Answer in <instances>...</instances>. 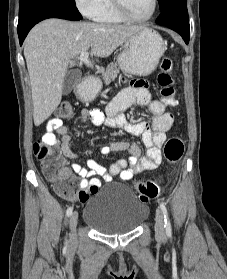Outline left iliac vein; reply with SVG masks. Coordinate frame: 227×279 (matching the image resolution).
I'll use <instances>...</instances> for the list:
<instances>
[{
	"label": "left iliac vein",
	"instance_id": "left-iliac-vein-1",
	"mask_svg": "<svg viewBox=\"0 0 227 279\" xmlns=\"http://www.w3.org/2000/svg\"><path fill=\"white\" fill-rule=\"evenodd\" d=\"M155 229L159 237L164 238L166 236L165 229H164V217L162 211L159 208L156 210Z\"/></svg>",
	"mask_w": 227,
	"mask_h": 279
}]
</instances>
